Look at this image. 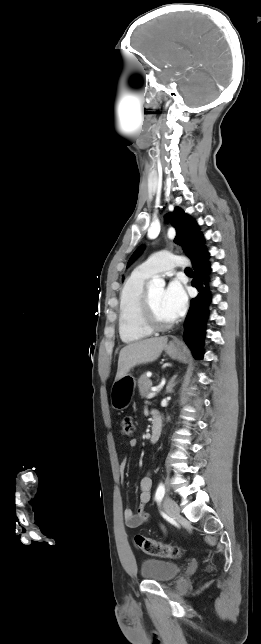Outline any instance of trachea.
I'll return each instance as SVG.
<instances>
[{"label":"trachea","mask_w":261,"mask_h":644,"mask_svg":"<svg viewBox=\"0 0 261 644\" xmlns=\"http://www.w3.org/2000/svg\"><path fill=\"white\" fill-rule=\"evenodd\" d=\"M185 272L192 273L193 271H192V269H190V268H186V269H185Z\"/></svg>","instance_id":"1"}]
</instances>
